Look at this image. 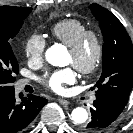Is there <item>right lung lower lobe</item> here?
Listing matches in <instances>:
<instances>
[{"mask_svg": "<svg viewBox=\"0 0 133 133\" xmlns=\"http://www.w3.org/2000/svg\"><path fill=\"white\" fill-rule=\"evenodd\" d=\"M46 103L45 98L32 94L16 96L14 90L0 96V132L24 131Z\"/></svg>", "mask_w": 133, "mask_h": 133, "instance_id": "obj_1", "label": "right lung lower lobe"}]
</instances>
